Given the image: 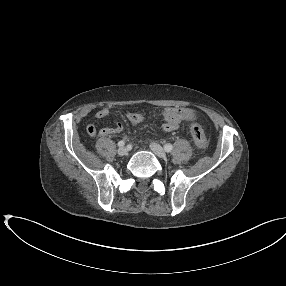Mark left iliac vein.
I'll return each instance as SVG.
<instances>
[{
    "instance_id": "4c4485c4",
    "label": "left iliac vein",
    "mask_w": 286,
    "mask_h": 286,
    "mask_svg": "<svg viewBox=\"0 0 286 286\" xmlns=\"http://www.w3.org/2000/svg\"><path fill=\"white\" fill-rule=\"evenodd\" d=\"M150 148L155 153V155H157L158 157L163 158V159L166 158V152L159 144L152 142L150 144Z\"/></svg>"
}]
</instances>
